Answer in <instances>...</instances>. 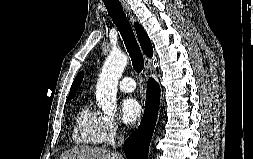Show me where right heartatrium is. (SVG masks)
<instances>
[{"label":"right heart atrium","mask_w":253,"mask_h":159,"mask_svg":"<svg viewBox=\"0 0 253 159\" xmlns=\"http://www.w3.org/2000/svg\"><path fill=\"white\" fill-rule=\"evenodd\" d=\"M102 128L103 142L107 144L113 142L121 131L118 121L108 115H102Z\"/></svg>","instance_id":"d8ad5b80"}]
</instances>
